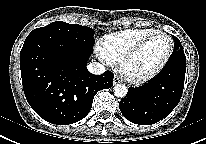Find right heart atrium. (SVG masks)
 Segmentation results:
<instances>
[{"label": "right heart atrium", "mask_w": 206, "mask_h": 144, "mask_svg": "<svg viewBox=\"0 0 206 144\" xmlns=\"http://www.w3.org/2000/svg\"><path fill=\"white\" fill-rule=\"evenodd\" d=\"M96 53L98 55V57L105 63L110 64L112 63L109 58L105 55V53L103 52L100 44L96 47Z\"/></svg>", "instance_id": "1"}]
</instances>
